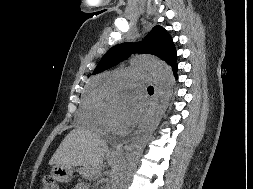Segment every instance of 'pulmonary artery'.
Segmentation results:
<instances>
[{
    "instance_id": "1",
    "label": "pulmonary artery",
    "mask_w": 253,
    "mask_h": 189,
    "mask_svg": "<svg viewBox=\"0 0 253 189\" xmlns=\"http://www.w3.org/2000/svg\"><path fill=\"white\" fill-rule=\"evenodd\" d=\"M150 81V78L145 74L136 72H124L108 81V85L112 89H119L128 85H144Z\"/></svg>"
}]
</instances>
